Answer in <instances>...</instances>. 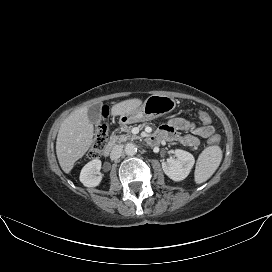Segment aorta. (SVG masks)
<instances>
[{
    "instance_id": "obj_1",
    "label": "aorta",
    "mask_w": 272,
    "mask_h": 272,
    "mask_svg": "<svg viewBox=\"0 0 272 272\" xmlns=\"http://www.w3.org/2000/svg\"><path fill=\"white\" fill-rule=\"evenodd\" d=\"M124 151L127 155H135L137 152V147L133 143H127L125 145Z\"/></svg>"
}]
</instances>
